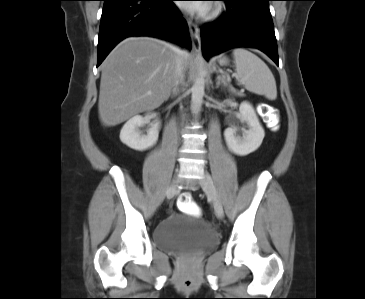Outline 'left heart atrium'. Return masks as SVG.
Instances as JSON below:
<instances>
[{
	"mask_svg": "<svg viewBox=\"0 0 365 299\" xmlns=\"http://www.w3.org/2000/svg\"><path fill=\"white\" fill-rule=\"evenodd\" d=\"M199 2H201V1H199ZM183 7L185 9H188V10H191V11L202 12L206 9V4H204V3L183 4Z\"/></svg>",
	"mask_w": 365,
	"mask_h": 299,
	"instance_id": "1",
	"label": "left heart atrium"
}]
</instances>
